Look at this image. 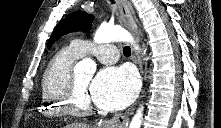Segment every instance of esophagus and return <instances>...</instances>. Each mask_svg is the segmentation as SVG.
Returning <instances> with one entry per match:
<instances>
[{
  "label": "esophagus",
  "instance_id": "1",
  "mask_svg": "<svg viewBox=\"0 0 221 128\" xmlns=\"http://www.w3.org/2000/svg\"><path fill=\"white\" fill-rule=\"evenodd\" d=\"M118 5L120 7L121 16L127 29L132 33L135 40L139 42L140 35L137 29L136 21L133 17L130 2L128 0H118ZM133 61L139 65L140 72L143 74L142 62L139 58L138 53L133 52ZM134 108H132L128 113H118L112 119L98 122L96 126L98 128H125L129 122V115L133 113Z\"/></svg>",
  "mask_w": 221,
  "mask_h": 128
}]
</instances>
